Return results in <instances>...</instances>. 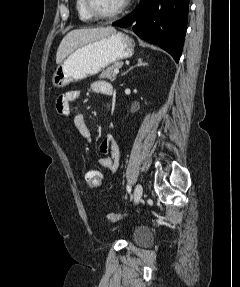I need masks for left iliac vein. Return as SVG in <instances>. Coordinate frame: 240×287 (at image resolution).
<instances>
[{"mask_svg": "<svg viewBox=\"0 0 240 287\" xmlns=\"http://www.w3.org/2000/svg\"><path fill=\"white\" fill-rule=\"evenodd\" d=\"M143 188L141 184H137L134 190V203H138L142 198Z\"/></svg>", "mask_w": 240, "mask_h": 287, "instance_id": "1", "label": "left iliac vein"}]
</instances>
